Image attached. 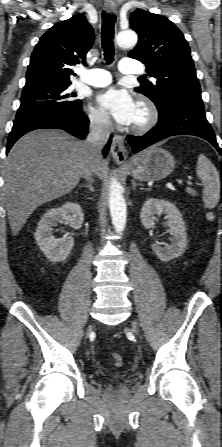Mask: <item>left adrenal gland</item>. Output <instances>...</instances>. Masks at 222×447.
Returning a JSON list of instances; mask_svg holds the SVG:
<instances>
[{
  "mask_svg": "<svg viewBox=\"0 0 222 447\" xmlns=\"http://www.w3.org/2000/svg\"><path fill=\"white\" fill-rule=\"evenodd\" d=\"M137 186H143L141 183H136L134 180H132V189L135 190Z\"/></svg>",
  "mask_w": 222,
  "mask_h": 447,
  "instance_id": "a2214340",
  "label": "left adrenal gland"
}]
</instances>
